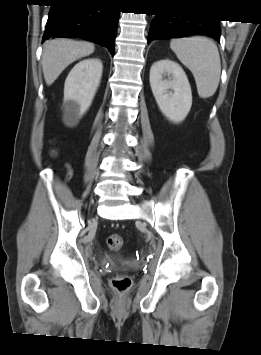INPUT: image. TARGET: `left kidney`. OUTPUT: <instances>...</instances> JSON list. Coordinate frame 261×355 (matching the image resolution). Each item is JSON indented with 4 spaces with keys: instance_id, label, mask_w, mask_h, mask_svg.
I'll return each mask as SVG.
<instances>
[{
    "instance_id": "5707ae66",
    "label": "left kidney",
    "mask_w": 261,
    "mask_h": 355,
    "mask_svg": "<svg viewBox=\"0 0 261 355\" xmlns=\"http://www.w3.org/2000/svg\"><path fill=\"white\" fill-rule=\"evenodd\" d=\"M150 86L163 115L174 123L182 122L192 105L191 87L182 67L169 59L153 63Z\"/></svg>"
}]
</instances>
